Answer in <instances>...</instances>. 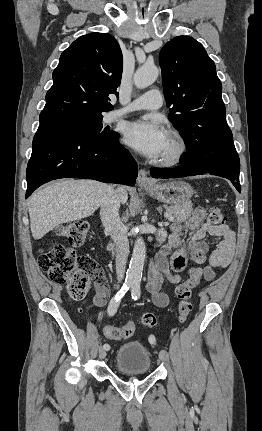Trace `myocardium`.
Here are the masks:
<instances>
[{
	"label": "myocardium",
	"mask_w": 262,
	"mask_h": 431,
	"mask_svg": "<svg viewBox=\"0 0 262 431\" xmlns=\"http://www.w3.org/2000/svg\"><path fill=\"white\" fill-rule=\"evenodd\" d=\"M173 149L160 157L157 164L165 167H172L181 164L189 153V144L182 134L178 131L170 130L168 133Z\"/></svg>",
	"instance_id": "1"
}]
</instances>
